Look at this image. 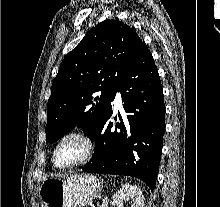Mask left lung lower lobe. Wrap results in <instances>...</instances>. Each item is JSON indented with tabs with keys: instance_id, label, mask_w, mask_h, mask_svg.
<instances>
[{
	"instance_id": "0a47b994",
	"label": "left lung lower lobe",
	"mask_w": 220,
	"mask_h": 207,
	"mask_svg": "<svg viewBox=\"0 0 220 207\" xmlns=\"http://www.w3.org/2000/svg\"><path fill=\"white\" fill-rule=\"evenodd\" d=\"M117 91L127 113L124 122L120 115V123L110 122L111 106L92 137L94 156L82 170L133 176L153 190L163 147L166 109L158 70L144 42L124 71L113 100Z\"/></svg>"
}]
</instances>
